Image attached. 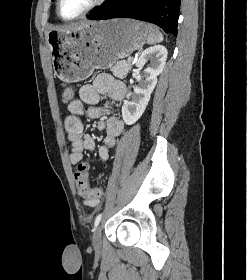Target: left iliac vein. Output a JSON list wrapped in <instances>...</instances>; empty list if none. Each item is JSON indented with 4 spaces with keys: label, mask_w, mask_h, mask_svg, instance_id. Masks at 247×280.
I'll list each match as a JSON object with an SVG mask.
<instances>
[{
    "label": "left iliac vein",
    "mask_w": 247,
    "mask_h": 280,
    "mask_svg": "<svg viewBox=\"0 0 247 280\" xmlns=\"http://www.w3.org/2000/svg\"><path fill=\"white\" fill-rule=\"evenodd\" d=\"M92 242L93 246L96 250H99L101 248V227L97 226L93 232L92 236Z\"/></svg>",
    "instance_id": "1"
}]
</instances>
